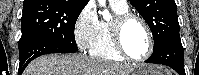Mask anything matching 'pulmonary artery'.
Returning a JSON list of instances; mask_svg holds the SVG:
<instances>
[{
  "mask_svg": "<svg viewBox=\"0 0 199 75\" xmlns=\"http://www.w3.org/2000/svg\"><path fill=\"white\" fill-rule=\"evenodd\" d=\"M109 3L112 7L120 8V9H126L128 8L127 1L124 0H110Z\"/></svg>",
  "mask_w": 199,
  "mask_h": 75,
  "instance_id": "1",
  "label": "pulmonary artery"
}]
</instances>
